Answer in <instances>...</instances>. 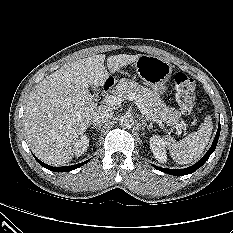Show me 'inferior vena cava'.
I'll list each match as a JSON object with an SVG mask.
<instances>
[{
	"instance_id": "602c4592",
	"label": "inferior vena cava",
	"mask_w": 233,
	"mask_h": 233,
	"mask_svg": "<svg viewBox=\"0 0 233 233\" xmlns=\"http://www.w3.org/2000/svg\"><path fill=\"white\" fill-rule=\"evenodd\" d=\"M113 110L108 106H100L92 117V123L94 126H100L108 122L113 117Z\"/></svg>"
}]
</instances>
